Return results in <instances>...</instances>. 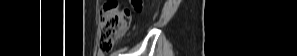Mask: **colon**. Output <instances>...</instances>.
Segmentation results:
<instances>
[{"instance_id":"5ec220e1","label":"colon","mask_w":297,"mask_h":56,"mask_svg":"<svg viewBox=\"0 0 297 56\" xmlns=\"http://www.w3.org/2000/svg\"><path fill=\"white\" fill-rule=\"evenodd\" d=\"M136 10L142 9L141 0H133ZM132 21L131 12L128 9H121L117 1L105 2L100 10L99 16V51L101 53L110 52L117 39H119L128 29Z\"/></svg>"}]
</instances>
